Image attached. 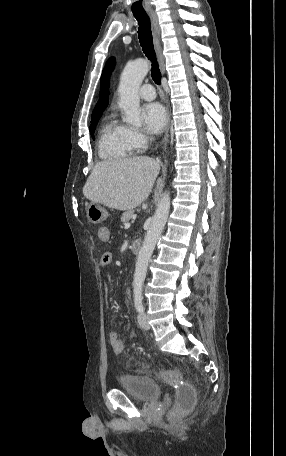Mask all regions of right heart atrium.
Instances as JSON below:
<instances>
[{
    "label": "right heart atrium",
    "mask_w": 286,
    "mask_h": 456,
    "mask_svg": "<svg viewBox=\"0 0 286 456\" xmlns=\"http://www.w3.org/2000/svg\"><path fill=\"white\" fill-rule=\"evenodd\" d=\"M128 132L136 148H144L148 144L149 138L142 130L128 128Z\"/></svg>",
    "instance_id": "1"
}]
</instances>
